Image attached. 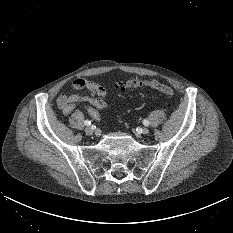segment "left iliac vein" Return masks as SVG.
<instances>
[{"mask_svg": "<svg viewBox=\"0 0 233 233\" xmlns=\"http://www.w3.org/2000/svg\"><path fill=\"white\" fill-rule=\"evenodd\" d=\"M141 131H142V134H148L149 133V129L146 128V127L142 128Z\"/></svg>", "mask_w": 233, "mask_h": 233, "instance_id": "left-iliac-vein-1", "label": "left iliac vein"}]
</instances>
